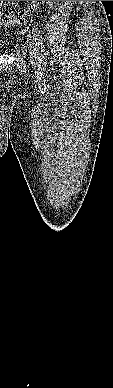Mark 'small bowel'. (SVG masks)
Returning <instances> with one entry per match:
<instances>
[{
	"label": "small bowel",
	"instance_id": "obj_1",
	"mask_svg": "<svg viewBox=\"0 0 113 388\" xmlns=\"http://www.w3.org/2000/svg\"><path fill=\"white\" fill-rule=\"evenodd\" d=\"M4 1H0V7H2L4 5Z\"/></svg>",
	"mask_w": 113,
	"mask_h": 388
}]
</instances>
